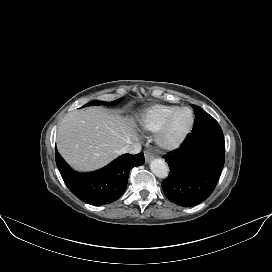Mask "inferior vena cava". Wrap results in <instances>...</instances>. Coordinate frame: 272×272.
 I'll use <instances>...</instances> for the list:
<instances>
[{"label": "inferior vena cava", "instance_id": "1", "mask_svg": "<svg viewBox=\"0 0 272 272\" xmlns=\"http://www.w3.org/2000/svg\"><path fill=\"white\" fill-rule=\"evenodd\" d=\"M141 151V145L138 142H130L124 145L120 150L119 154L130 153L137 154Z\"/></svg>", "mask_w": 272, "mask_h": 272}]
</instances>
